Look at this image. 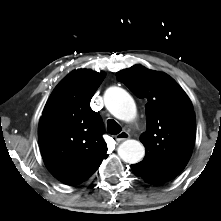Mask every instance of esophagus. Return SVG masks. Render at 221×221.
Listing matches in <instances>:
<instances>
[{"label":"esophagus","mask_w":221,"mask_h":221,"mask_svg":"<svg viewBox=\"0 0 221 221\" xmlns=\"http://www.w3.org/2000/svg\"><path fill=\"white\" fill-rule=\"evenodd\" d=\"M118 142L125 141L130 138V134L127 131H122L115 136Z\"/></svg>","instance_id":"obj_1"}]
</instances>
